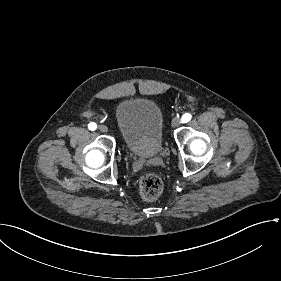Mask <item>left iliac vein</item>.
<instances>
[{"mask_svg": "<svg viewBox=\"0 0 281 281\" xmlns=\"http://www.w3.org/2000/svg\"><path fill=\"white\" fill-rule=\"evenodd\" d=\"M180 123H181V119L179 117H175L172 119L171 126L173 128H175V127L179 126Z\"/></svg>", "mask_w": 281, "mask_h": 281, "instance_id": "left-iliac-vein-1", "label": "left iliac vein"}]
</instances>
